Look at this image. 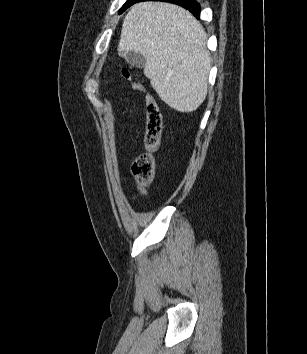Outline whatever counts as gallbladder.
Here are the masks:
<instances>
[{
  "instance_id": "bac80fb5",
  "label": "gallbladder",
  "mask_w": 307,
  "mask_h": 354,
  "mask_svg": "<svg viewBox=\"0 0 307 354\" xmlns=\"http://www.w3.org/2000/svg\"><path fill=\"white\" fill-rule=\"evenodd\" d=\"M124 57L126 61L134 67L143 68L145 66L146 60L140 53L128 52Z\"/></svg>"
}]
</instances>
